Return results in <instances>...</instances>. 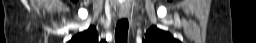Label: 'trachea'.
Returning <instances> with one entry per match:
<instances>
[{"label":"trachea","instance_id":"obj_1","mask_svg":"<svg viewBox=\"0 0 256 43\" xmlns=\"http://www.w3.org/2000/svg\"><path fill=\"white\" fill-rule=\"evenodd\" d=\"M129 23L127 18L120 19L115 28V43H127Z\"/></svg>","mask_w":256,"mask_h":43}]
</instances>
